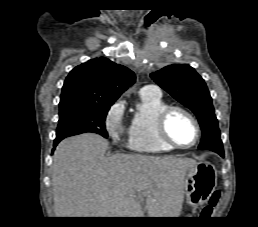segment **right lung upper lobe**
I'll return each mask as SVG.
<instances>
[{
  "instance_id": "obj_1",
  "label": "right lung upper lobe",
  "mask_w": 258,
  "mask_h": 227,
  "mask_svg": "<svg viewBox=\"0 0 258 227\" xmlns=\"http://www.w3.org/2000/svg\"><path fill=\"white\" fill-rule=\"evenodd\" d=\"M135 82L134 73L104 57L75 67L67 76L61 99L76 98L100 104H113Z\"/></svg>"
}]
</instances>
